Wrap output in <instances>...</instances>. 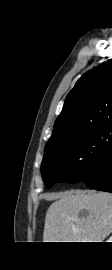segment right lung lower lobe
<instances>
[{"mask_svg": "<svg viewBox=\"0 0 112 270\" xmlns=\"http://www.w3.org/2000/svg\"><path fill=\"white\" fill-rule=\"evenodd\" d=\"M82 181L93 189L112 193V146L101 154L95 168Z\"/></svg>", "mask_w": 112, "mask_h": 270, "instance_id": "obj_1", "label": "right lung lower lobe"}]
</instances>
